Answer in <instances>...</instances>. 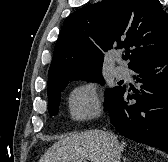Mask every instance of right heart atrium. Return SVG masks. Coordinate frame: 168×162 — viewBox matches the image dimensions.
I'll use <instances>...</instances> for the list:
<instances>
[{
    "mask_svg": "<svg viewBox=\"0 0 168 162\" xmlns=\"http://www.w3.org/2000/svg\"><path fill=\"white\" fill-rule=\"evenodd\" d=\"M69 110L71 116L78 120L98 116L101 112V103L95 86L86 83L74 89L69 98Z\"/></svg>",
    "mask_w": 168,
    "mask_h": 162,
    "instance_id": "right-heart-atrium-1",
    "label": "right heart atrium"
}]
</instances>
